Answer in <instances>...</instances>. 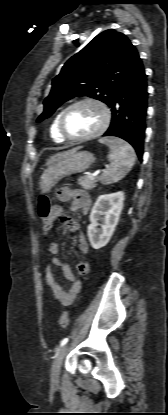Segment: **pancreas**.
<instances>
[{
	"mask_svg": "<svg viewBox=\"0 0 168 415\" xmlns=\"http://www.w3.org/2000/svg\"><path fill=\"white\" fill-rule=\"evenodd\" d=\"M97 178H91L89 176L81 177L78 179V184L82 186V188L86 190H91L96 187L97 185Z\"/></svg>",
	"mask_w": 168,
	"mask_h": 415,
	"instance_id": "obj_1",
	"label": "pancreas"
}]
</instances>
